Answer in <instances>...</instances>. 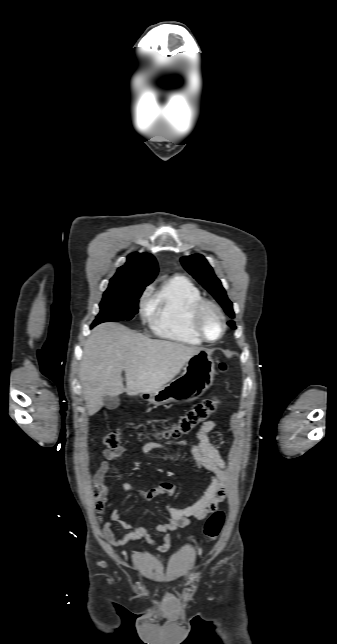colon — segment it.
I'll return each instance as SVG.
<instances>
[{"label":"colon","instance_id":"colon-1","mask_svg":"<svg viewBox=\"0 0 337 644\" xmlns=\"http://www.w3.org/2000/svg\"><path fill=\"white\" fill-rule=\"evenodd\" d=\"M220 369L222 372L227 371V365L225 363L220 364ZM219 406V401L215 398L204 400L201 403H198L188 411L186 414L181 416L175 423L165 427L162 431L158 433V437L162 438H180L184 435L189 434L193 429H195L201 423H204L212 413L216 411ZM121 434L118 430L110 431L104 438V444L108 449H115L120 445ZM104 487L98 485L96 487L97 495H101L104 492ZM99 511L103 509V503L99 502L97 505ZM225 513L223 511H215L207 519L204 525V536L206 540L213 541L215 540L224 524Z\"/></svg>","mask_w":337,"mask_h":644}]
</instances>
